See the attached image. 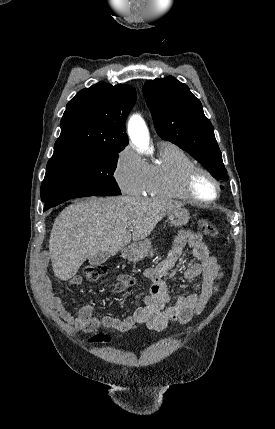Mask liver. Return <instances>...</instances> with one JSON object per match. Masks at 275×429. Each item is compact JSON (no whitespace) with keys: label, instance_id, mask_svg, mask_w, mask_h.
Wrapping results in <instances>:
<instances>
[{"label":"liver","instance_id":"1","mask_svg":"<svg viewBox=\"0 0 275 429\" xmlns=\"http://www.w3.org/2000/svg\"><path fill=\"white\" fill-rule=\"evenodd\" d=\"M179 202L129 196L91 197L67 206L49 239L54 275L68 280L98 252L116 255L131 240H144Z\"/></svg>","mask_w":275,"mask_h":429}]
</instances>
